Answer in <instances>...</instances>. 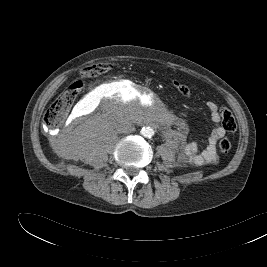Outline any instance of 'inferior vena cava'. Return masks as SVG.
<instances>
[{
	"label": "inferior vena cava",
	"instance_id": "602c4592",
	"mask_svg": "<svg viewBox=\"0 0 267 267\" xmlns=\"http://www.w3.org/2000/svg\"><path fill=\"white\" fill-rule=\"evenodd\" d=\"M134 129L135 128L129 123H123V124L119 125V127H118V131L121 133H130V132L134 131Z\"/></svg>",
	"mask_w": 267,
	"mask_h": 267
}]
</instances>
